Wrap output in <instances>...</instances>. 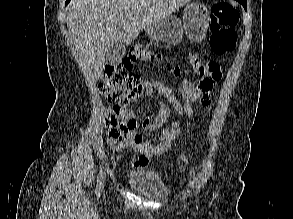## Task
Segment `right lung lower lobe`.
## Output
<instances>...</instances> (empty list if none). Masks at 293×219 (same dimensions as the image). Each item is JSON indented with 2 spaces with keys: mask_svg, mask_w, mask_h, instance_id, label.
<instances>
[{
  "mask_svg": "<svg viewBox=\"0 0 293 219\" xmlns=\"http://www.w3.org/2000/svg\"><path fill=\"white\" fill-rule=\"evenodd\" d=\"M70 0H66L65 5H67L69 3Z\"/></svg>",
  "mask_w": 293,
  "mask_h": 219,
  "instance_id": "98d812e1",
  "label": "right lung lower lobe"
}]
</instances>
